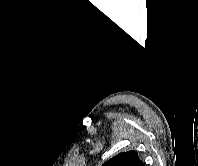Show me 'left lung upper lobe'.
<instances>
[{"label": "left lung upper lobe", "instance_id": "5c2ea615", "mask_svg": "<svg viewBox=\"0 0 198 166\" xmlns=\"http://www.w3.org/2000/svg\"><path fill=\"white\" fill-rule=\"evenodd\" d=\"M103 166H145L143 161L138 157L136 151H128L121 153L109 161H107Z\"/></svg>", "mask_w": 198, "mask_h": 166}]
</instances>
